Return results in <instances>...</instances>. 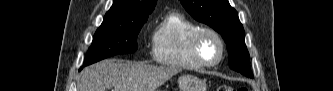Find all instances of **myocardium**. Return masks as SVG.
I'll list each match as a JSON object with an SVG mask.
<instances>
[{"label":"myocardium","instance_id":"myocardium-1","mask_svg":"<svg viewBox=\"0 0 333 91\" xmlns=\"http://www.w3.org/2000/svg\"><path fill=\"white\" fill-rule=\"evenodd\" d=\"M205 34L212 35L218 42L220 47V53L218 58L214 62L205 61L200 54V40ZM191 53L194 60L201 66L206 68H212L217 66L224 58L225 55V42L221 34L213 28L201 27L198 28L191 36L190 40Z\"/></svg>","mask_w":333,"mask_h":91}]
</instances>
